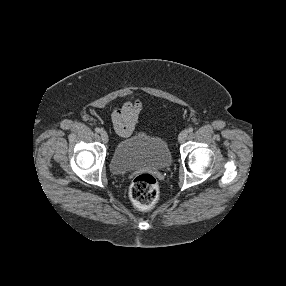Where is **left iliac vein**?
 Instances as JSON below:
<instances>
[{"label": "left iliac vein", "instance_id": "left-iliac-vein-1", "mask_svg": "<svg viewBox=\"0 0 286 286\" xmlns=\"http://www.w3.org/2000/svg\"><path fill=\"white\" fill-rule=\"evenodd\" d=\"M187 135H188V132L186 130H183L178 136L179 142L183 143L186 140Z\"/></svg>", "mask_w": 286, "mask_h": 286}]
</instances>
